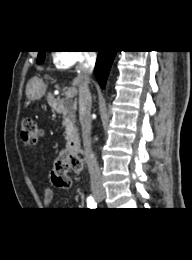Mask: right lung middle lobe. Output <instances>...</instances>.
I'll return each instance as SVG.
<instances>
[{"label":"right lung middle lobe","instance_id":"obj_1","mask_svg":"<svg viewBox=\"0 0 192 260\" xmlns=\"http://www.w3.org/2000/svg\"><path fill=\"white\" fill-rule=\"evenodd\" d=\"M45 58V51H40L38 54L37 63L40 64L44 61Z\"/></svg>","mask_w":192,"mask_h":260}]
</instances>
